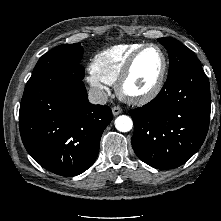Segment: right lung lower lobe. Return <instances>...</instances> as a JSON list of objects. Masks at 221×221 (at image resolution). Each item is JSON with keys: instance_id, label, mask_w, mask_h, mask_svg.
<instances>
[{"instance_id": "98d812e1", "label": "right lung lower lobe", "mask_w": 221, "mask_h": 221, "mask_svg": "<svg viewBox=\"0 0 221 221\" xmlns=\"http://www.w3.org/2000/svg\"><path fill=\"white\" fill-rule=\"evenodd\" d=\"M112 120L108 106L89 103L82 79L30 78L19 111L23 144L45 169L65 177L96 160L101 135Z\"/></svg>"}]
</instances>
